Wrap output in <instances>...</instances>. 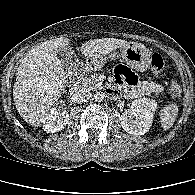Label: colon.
<instances>
[{
    "label": "colon",
    "instance_id": "obj_1",
    "mask_svg": "<svg viewBox=\"0 0 195 195\" xmlns=\"http://www.w3.org/2000/svg\"><path fill=\"white\" fill-rule=\"evenodd\" d=\"M151 69L153 73L159 74L164 69V60L163 57L158 54L154 53L151 56ZM82 72V66L77 64L74 69V77H79ZM169 94L173 98H179L181 96V87L176 81H171L169 84Z\"/></svg>",
    "mask_w": 195,
    "mask_h": 195
}]
</instances>
